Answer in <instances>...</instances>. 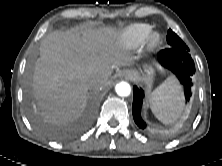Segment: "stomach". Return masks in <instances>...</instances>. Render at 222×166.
<instances>
[{
	"label": "stomach",
	"instance_id": "0dacf381",
	"mask_svg": "<svg viewBox=\"0 0 222 166\" xmlns=\"http://www.w3.org/2000/svg\"><path fill=\"white\" fill-rule=\"evenodd\" d=\"M153 75H154V70L149 67L147 70H146V74L145 75H140L138 73H135V76L138 78V79H142L147 85H151L152 83V79H153Z\"/></svg>",
	"mask_w": 222,
	"mask_h": 166
}]
</instances>
